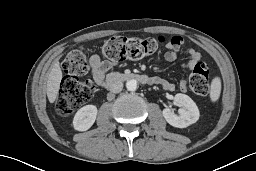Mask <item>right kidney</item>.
<instances>
[{
    "label": "right kidney",
    "mask_w": 256,
    "mask_h": 171,
    "mask_svg": "<svg viewBox=\"0 0 256 171\" xmlns=\"http://www.w3.org/2000/svg\"><path fill=\"white\" fill-rule=\"evenodd\" d=\"M97 112L98 110L95 105H86L80 108L73 119L74 129L77 131L88 130L94 124Z\"/></svg>",
    "instance_id": "ca27d5eb"
}]
</instances>
